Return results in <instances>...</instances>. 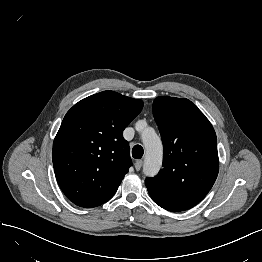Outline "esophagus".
<instances>
[{
	"mask_svg": "<svg viewBox=\"0 0 262 262\" xmlns=\"http://www.w3.org/2000/svg\"><path fill=\"white\" fill-rule=\"evenodd\" d=\"M142 165H143V161L142 160H136L135 163H134L135 169L137 171H139L141 169Z\"/></svg>",
	"mask_w": 262,
	"mask_h": 262,
	"instance_id": "obj_1",
	"label": "esophagus"
}]
</instances>
